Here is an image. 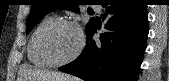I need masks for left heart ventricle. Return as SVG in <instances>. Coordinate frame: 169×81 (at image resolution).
<instances>
[{
  "label": "left heart ventricle",
  "mask_w": 169,
  "mask_h": 81,
  "mask_svg": "<svg viewBox=\"0 0 169 81\" xmlns=\"http://www.w3.org/2000/svg\"><path fill=\"white\" fill-rule=\"evenodd\" d=\"M79 45V35L74 27L61 26L53 30L47 39V51L54 60L71 56Z\"/></svg>",
  "instance_id": "b2bd125f"
}]
</instances>
